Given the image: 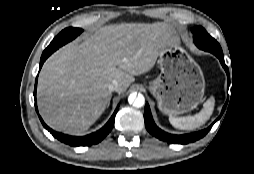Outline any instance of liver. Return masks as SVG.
I'll use <instances>...</instances> for the list:
<instances>
[{
    "instance_id": "1",
    "label": "liver",
    "mask_w": 254,
    "mask_h": 174,
    "mask_svg": "<svg viewBox=\"0 0 254 174\" xmlns=\"http://www.w3.org/2000/svg\"><path fill=\"white\" fill-rule=\"evenodd\" d=\"M176 42L165 23H124L99 28L81 44L70 43L44 63L37 103L44 121L56 131L84 133L104 112L113 80L123 93L134 76L151 70L159 50Z\"/></svg>"
}]
</instances>
